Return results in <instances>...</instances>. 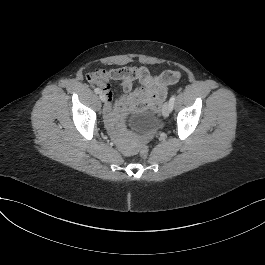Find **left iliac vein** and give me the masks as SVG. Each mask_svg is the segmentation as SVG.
Wrapping results in <instances>:
<instances>
[{"mask_svg": "<svg viewBox=\"0 0 265 265\" xmlns=\"http://www.w3.org/2000/svg\"><path fill=\"white\" fill-rule=\"evenodd\" d=\"M171 112L169 102H166L162 109V115L164 118H167Z\"/></svg>", "mask_w": 265, "mask_h": 265, "instance_id": "obj_1", "label": "left iliac vein"}]
</instances>
